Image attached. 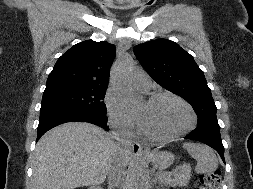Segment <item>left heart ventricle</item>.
<instances>
[{
  "mask_svg": "<svg viewBox=\"0 0 253 189\" xmlns=\"http://www.w3.org/2000/svg\"><path fill=\"white\" fill-rule=\"evenodd\" d=\"M140 127L155 136H168L190 121L187 109L172 99H160L154 103H143L138 109Z\"/></svg>",
  "mask_w": 253,
  "mask_h": 189,
  "instance_id": "b2bd125f",
  "label": "left heart ventricle"
}]
</instances>
